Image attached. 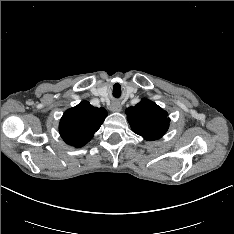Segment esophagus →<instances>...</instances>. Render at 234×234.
<instances>
[{
    "instance_id": "1",
    "label": "esophagus",
    "mask_w": 234,
    "mask_h": 234,
    "mask_svg": "<svg viewBox=\"0 0 234 234\" xmlns=\"http://www.w3.org/2000/svg\"><path fill=\"white\" fill-rule=\"evenodd\" d=\"M121 109H122V107H121V105H119V104H112V105L110 106V110H111L112 112H120Z\"/></svg>"
}]
</instances>
